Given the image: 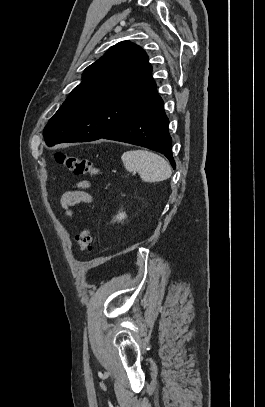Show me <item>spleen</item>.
<instances>
[{"mask_svg":"<svg viewBox=\"0 0 265 407\" xmlns=\"http://www.w3.org/2000/svg\"><path fill=\"white\" fill-rule=\"evenodd\" d=\"M121 160L128 171L138 172L145 182L163 181L172 174L169 163L151 151H126L122 154Z\"/></svg>","mask_w":265,"mask_h":407,"instance_id":"obj_1","label":"spleen"}]
</instances>
